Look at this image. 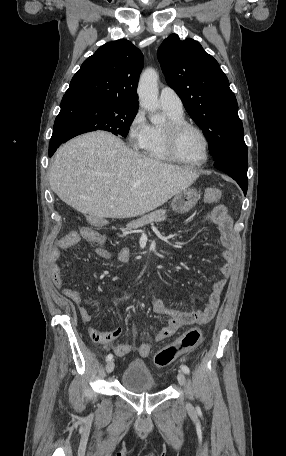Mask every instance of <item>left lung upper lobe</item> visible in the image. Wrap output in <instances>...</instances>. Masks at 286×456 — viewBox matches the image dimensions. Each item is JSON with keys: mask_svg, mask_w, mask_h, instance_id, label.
<instances>
[{"mask_svg": "<svg viewBox=\"0 0 286 456\" xmlns=\"http://www.w3.org/2000/svg\"><path fill=\"white\" fill-rule=\"evenodd\" d=\"M157 57L168 85L202 129L214 161L228 156L247 157L243 124L229 81L218 62L193 39L170 35Z\"/></svg>", "mask_w": 286, "mask_h": 456, "instance_id": "1", "label": "left lung upper lobe"}]
</instances>
